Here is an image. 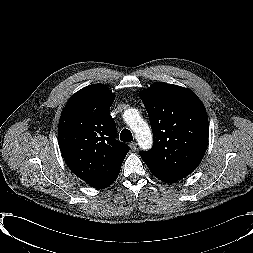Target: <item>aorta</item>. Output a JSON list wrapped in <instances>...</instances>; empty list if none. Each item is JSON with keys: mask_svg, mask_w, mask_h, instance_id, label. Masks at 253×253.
<instances>
[{"mask_svg": "<svg viewBox=\"0 0 253 253\" xmlns=\"http://www.w3.org/2000/svg\"><path fill=\"white\" fill-rule=\"evenodd\" d=\"M124 121L134 132L139 146L144 149H150L153 138L149 125L144 121L136 109L130 108L124 111Z\"/></svg>", "mask_w": 253, "mask_h": 253, "instance_id": "aorta-1", "label": "aorta"}]
</instances>
